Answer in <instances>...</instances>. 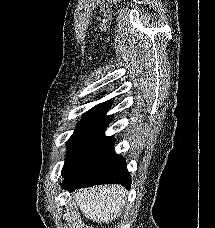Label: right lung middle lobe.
<instances>
[{
    "label": "right lung middle lobe",
    "mask_w": 215,
    "mask_h": 228,
    "mask_svg": "<svg viewBox=\"0 0 215 228\" xmlns=\"http://www.w3.org/2000/svg\"><path fill=\"white\" fill-rule=\"evenodd\" d=\"M108 124L109 122H98L77 127L66 143L68 151L61 172L63 177L71 174L81 164L114 141V138L104 135Z\"/></svg>",
    "instance_id": "dd1d6c3e"
}]
</instances>
